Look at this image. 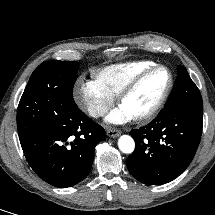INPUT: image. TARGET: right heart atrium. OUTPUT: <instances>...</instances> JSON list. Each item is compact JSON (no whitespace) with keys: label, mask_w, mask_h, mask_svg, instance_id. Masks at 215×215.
Returning <instances> with one entry per match:
<instances>
[{"label":"right heart atrium","mask_w":215,"mask_h":215,"mask_svg":"<svg viewBox=\"0 0 215 215\" xmlns=\"http://www.w3.org/2000/svg\"><path fill=\"white\" fill-rule=\"evenodd\" d=\"M116 96L101 87L95 80L79 78L73 89L76 105L92 118L104 116L115 102Z\"/></svg>","instance_id":"d8ad5b80"}]
</instances>
